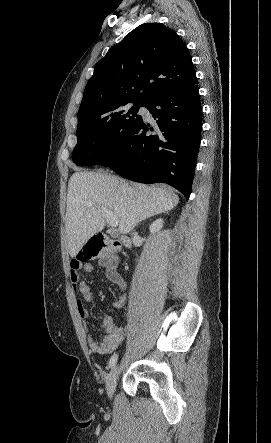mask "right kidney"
<instances>
[{
	"label": "right kidney",
	"instance_id": "obj_1",
	"mask_svg": "<svg viewBox=\"0 0 271 443\" xmlns=\"http://www.w3.org/2000/svg\"><path fill=\"white\" fill-rule=\"evenodd\" d=\"M163 227V220L159 218V220H155V222L151 223L149 229L151 233H155V231H159V229H162Z\"/></svg>",
	"mask_w": 271,
	"mask_h": 443
}]
</instances>
